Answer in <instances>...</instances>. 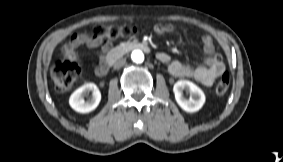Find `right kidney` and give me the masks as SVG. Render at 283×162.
<instances>
[{
  "instance_id": "ca27d5eb",
  "label": "right kidney",
  "mask_w": 283,
  "mask_h": 162,
  "mask_svg": "<svg viewBox=\"0 0 283 162\" xmlns=\"http://www.w3.org/2000/svg\"><path fill=\"white\" fill-rule=\"evenodd\" d=\"M92 92L91 98L84 100ZM101 100V93L94 83H87L72 93L69 98L70 106L79 113H89L96 109Z\"/></svg>"
}]
</instances>
